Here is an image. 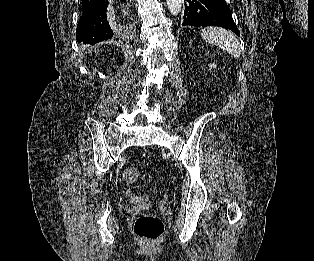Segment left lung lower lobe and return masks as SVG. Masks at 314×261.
Returning a JSON list of instances; mask_svg holds the SVG:
<instances>
[{"mask_svg": "<svg viewBox=\"0 0 314 261\" xmlns=\"http://www.w3.org/2000/svg\"><path fill=\"white\" fill-rule=\"evenodd\" d=\"M182 25L219 26L230 29L239 36L225 0H187Z\"/></svg>", "mask_w": 314, "mask_h": 261, "instance_id": "1", "label": "left lung lower lobe"}]
</instances>
